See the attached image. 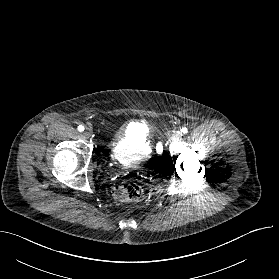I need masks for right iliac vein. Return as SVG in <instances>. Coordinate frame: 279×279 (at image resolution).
<instances>
[{"label":"right iliac vein","mask_w":279,"mask_h":279,"mask_svg":"<svg viewBox=\"0 0 279 279\" xmlns=\"http://www.w3.org/2000/svg\"><path fill=\"white\" fill-rule=\"evenodd\" d=\"M84 135L89 138L92 136V129L91 128H86L85 132H84Z\"/></svg>","instance_id":"obj_1"}]
</instances>
